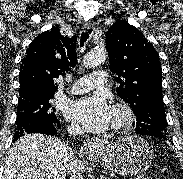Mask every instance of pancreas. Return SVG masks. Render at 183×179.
Listing matches in <instances>:
<instances>
[{"label": "pancreas", "mask_w": 183, "mask_h": 179, "mask_svg": "<svg viewBox=\"0 0 183 179\" xmlns=\"http://www.w3.org/2000/svg\"><path fill=\"white\" fill-rule=\"evenodd\" d=\"M134 179H150L149 177H144V176H137L136 178Z\"/></svg>", "instance_id": "pancreas-1"}]
</instances>
